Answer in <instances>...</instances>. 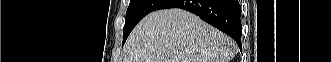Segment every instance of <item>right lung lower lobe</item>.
<instances>
[{
    "mask_svg": "<svg viewBox=\"0 0 331 62\" xmlns=\"http://www.w3.org/2000/svg\"><path fill=\"white\" fill-rule=\"evenodd\" d=\"M181 8L231 36L241 48V6L238 0H171L163 9Z\"/></svg>",
    "mask_w": 331,
    "mask_h": 62,
    "instance_id": "98d812e1",
    "label": "right lung lower lobe"
}]
</instances>
